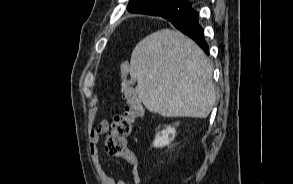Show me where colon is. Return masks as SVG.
Instances as JSON below:
<instances>
[{"mask_svg": "<svg viewBox=\"0 0 293 184\" xmlns=\"http://www.w3.org/2000/svg\"><path fill=\"white\" fill-rule=\"evenodd\" d=\"M129 69L127 61L120 63L121 86L126 98V105L124 110L113 118L106 137L105 150L109 155L123 157L131 162L134 160V156L126 146L125 137L132 132L137 119L143 116L144 109L128 82Z\"/></svg>", "mask_w": 293, "mask_h": 184, "instance_id": "1", "label": "colon"}]
</instances>
